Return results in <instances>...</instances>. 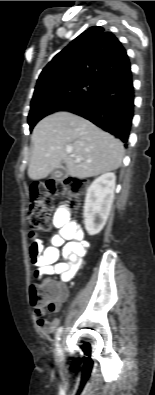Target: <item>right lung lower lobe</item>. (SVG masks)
<instances>
[{
	"mask_svg": "<svg viewBox=\"0 0 155 395\" xmlns=\"http://www.w3.org/2000/svg\"><path fill=\"white\" fill-rule=\"evenodd\" d=\"M64 111L88 119L126 143L134 115L131 68L108 74L95 91Z\"/></svg>",
	"mask_w": 155,
	"mask_h": 395,
	"instance_id": "obj_1",
	"label": "right lung lower lobe"
}]
</instances>
